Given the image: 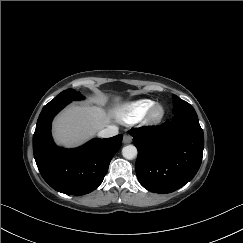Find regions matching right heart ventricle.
Instances as JSON below:
<instances>
[{"mask_svg": "<svg viewBox=\"0 0 243 243\" xmlns=\"http://www.w3.org/2000/svg\"><path fill=\"white\" fill-rule=\"evenodd\" d=\"M154 104L151 99H140L126 104L123 108V121L133 123L142 119Z\"/></svg>", "mask_w": 243, "mask_h": 243, "instance_id": "obj_1", "label": "right heart ventricle"}]
</instances>
